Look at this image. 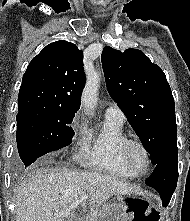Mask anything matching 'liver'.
<instances>
[{
    "label": "liver",
    "mask_w": 190,
    "mask_h": 221,
    "mask_svg": "<svg viewBox=\"0 0 190 221\" xmlns=\"http://www.w3.org/2000/svg\"><path fill=\"white\" fill-rule=\"evenodd\" d=\"M139 193V188L99 172L35 168L17 191L16 221H66L56 215L84 195L98 208L114 194Z\"/></svg>",
    "instance_id": "liver-1"
}]
</instances>
